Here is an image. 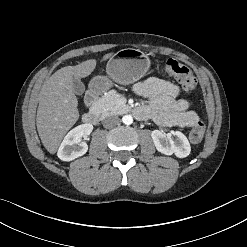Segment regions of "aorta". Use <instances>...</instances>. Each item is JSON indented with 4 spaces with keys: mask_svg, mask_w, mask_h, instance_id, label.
<instances>
[{
    "mask_svg": "<svg viewBox=\"0 0 247 247\" xmlns=\"http://www.w3.org/2000/svg\"><path fill=\"white\" fill-rule=\"evenodd\" d=\"M122 122H123L124 124H126V125H130V124L133 123V118H132L131 115H125V116H123V118H122Z\"/></svg>",
    "mask_w": 247,
    "mask_h": 247,
    "instance_id": "1",
    "label": "aorta"
}]
</instances>
